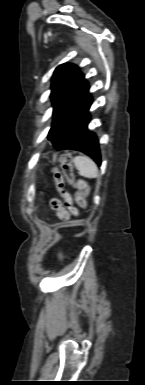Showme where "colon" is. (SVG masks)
Masks as SVG:
<instances>
[{"label": "colon", "instance_id": "5ec220e1", "mask_svg": "<svg viewBox=\"0 0 145 385\" xmlns=\"http://www.w3.org/2000/svg\"><path fill=\"white\" fill-rule=\"evenodd\" d=\"M61 171L56 168L51 169V173L57 189L62 196L66 208L71 212L72 215H78L79 211L74 206V201L81 209L87 208V196L88 186L80 179H77L74 175L73 166L71 162V156L64 153L60 156ZM66 184L71 186L76 192L74 198L66 188Z\"/></svg>", "mask_w": 145, "mask_h": 385}]
</instances>
